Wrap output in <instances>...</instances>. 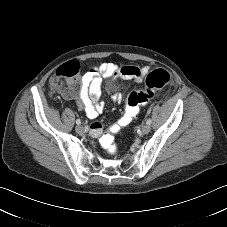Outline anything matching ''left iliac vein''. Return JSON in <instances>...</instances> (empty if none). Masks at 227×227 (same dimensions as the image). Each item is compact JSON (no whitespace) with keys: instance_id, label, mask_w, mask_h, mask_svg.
Returning a JSON list of instances; mask_svg holds the SVG:
<instances>
[{"instance_id":"1","label":"left iliac vein","mask_w":227,"mask_h":227,"mask_svg":"<svg viewBox=\"0 0 227 227\" xmlns=\"http://www.w3.org/2000/svg\"><path fill=\"white\" fill-rule=\"evenodd\" d=\"M150 129H151L150 125L146 124L142 127L141 131L143 134H148L150 132Z\"/></svg>"}]
</instances>
